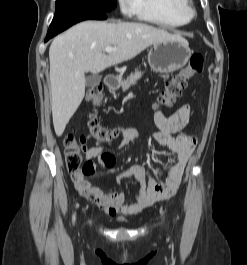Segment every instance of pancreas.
<instances>
[{
    "instance_id": "1",
    "label": "pancreas",
    "mask_w": 247,
    "mask_h": 265,
    "mask_svg": "<svg viewBox=\"0 0 247 265\" xmlns=\"http://www.w3.org/2000/svg\"><path fill=\"white\" fill-rule=\"evenodd\" d=\"M143 73L141 71H135L134 74H131L126 80H122L120 77V85L123 91L128 90L131 85L135 84L138 79L142 77Z\"/></svg>"
}]
</instances>
